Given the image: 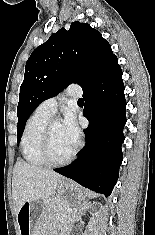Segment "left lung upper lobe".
Masks as SVG:
<instances>
[{
    "mask_svg": "<svg viewBox=\"0 0 155 235\" xmlns=\"http://www.w3.org/2000/svg\"><path fill=\"white\" fill-rule=\"evenodd\" d=\"M117 57L111 45L89 24L73 22L38 46L29 57L20 87L17 143L31 113L71 83L94 84Z\"/></svg>",
    "mask_w": 155,
    "mask_h": 235,
    "instance_id": "left-lung-upper-lobe-1",
    "label": "left lung upper lobe"
}]
</instances>
